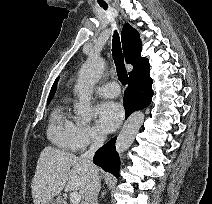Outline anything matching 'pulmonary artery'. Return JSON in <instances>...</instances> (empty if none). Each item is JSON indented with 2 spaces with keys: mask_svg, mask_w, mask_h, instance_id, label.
I'll return each instance as SVG.
<instances>
[{
  "mask_svg": "<svg viewBox=\"0 0 212 204\" xmlns=\"http://www.w3.org/2000/svg\"><path fill=\"white\" fill-rule=\"evenodd\" d=\"M95 92L104 97L114 98L119 95L120 89L116 82H109L107 84L97 86Z\"/></svg>",
  "mask_w": 212,
  "mask_h": 204,
  "instance_id": "e3ab8cb5",
  "label": "pulmonary artery"
}]
</instances>
